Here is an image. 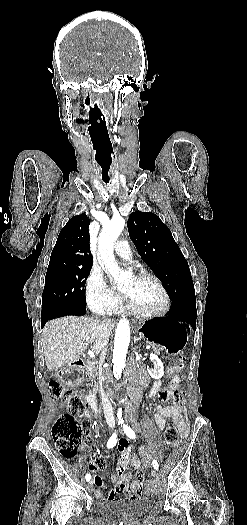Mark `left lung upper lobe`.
I'll return each mask as SVG.
<instances>
[{"mask_svg": "<svg viewBox=\"0 0 247 525\" xmlns=\"http://www.w3.org/2000/svg\"><path fill=\"white\" fill-rule=\"evenodd\" d=\"M127 227L141 258L162 282L172 303L195 300L188 263L161 219L151 212L136 211Z\"/></svg>", "mask_w": 247, "mask_h": 525, "instance_id": "left-lung-upper-lobe-1", "label": "left lung upper lobe"}]
</instances>
